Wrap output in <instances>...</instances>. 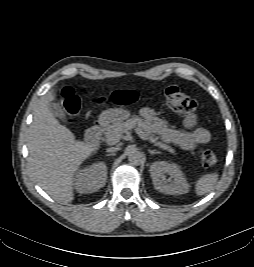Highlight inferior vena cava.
Instances as JSON below:
<instances>
[{"instance_id":"1","label":"inferior vena cava","mask_w":254,"mask_h":267,"mask_svg":"<svg viewBox=\"0 0 254 267\" xmlns=\"http://www.w3.org/2000/svg\"><path fill=\"white\" fill-rule=\"evenodd\" d=\"M118 150H119L118 147H110V148H108L106 151H107L108 153H114V152H116V151H118Z\"/></svg>"}]
</instances>
